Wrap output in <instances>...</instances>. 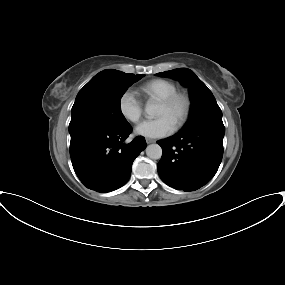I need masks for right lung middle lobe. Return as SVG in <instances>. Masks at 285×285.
Returning a JSON list of instances; mask_svg holds the SVG:
<instances>
[{
	"label": "right lung middle lobe",
	"mask_w": 285,
	"mask_h": 285,
	"mask_svg": "<svg viewBox=\"0 0 285 285\" xmlns=\"http://www.w3.org/2000/svg\"><path fill=\"white\" fill-rule=\"evenodd\" d=\"M144 75L126 74L114 69L95 75L78 93L72 107L69 132L85 124L123 128L129 123L121 113L120 99Z\"/></svg>",
	"instance_id": "1"
}]
</instances>
